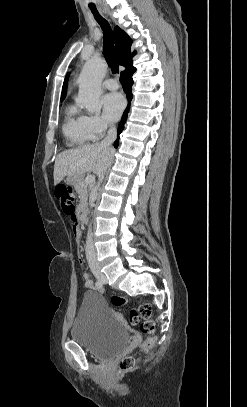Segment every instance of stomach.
<instances>
[{
  "instance_id": "obj_1",
  "label": "stomach",
  "mask_w": 247,
  "mask_h": 407,
  "mask_svg": "<svg viewBox=\"0 0 247 407\" xmlns=\"http://www.w3.org/2000/svg\"><path fill=\"white\" fill-rule=\"evenodd\" d=\"M82 179H83L82 176H79V175H68L66 178V182H67V184L75 185Z\"/></svg>"
}]
</instances>
